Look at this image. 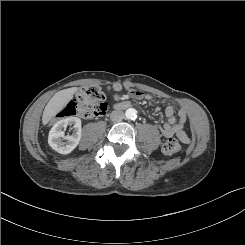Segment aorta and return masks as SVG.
<instances>
[{"mask_svg": "<svg viewBox=\"0 0 245 245\" xmlns=\"http://www.w3.org/2000/svg\"><path fill=\"white\" fill-rule=\"evenodd\" d=\"M125 116L128 119H132V120L136 119L137 118V111H136V109H134V108L127 109L125 111Z\"/></svg>", "mask_w": 245, "mask_h": 245, "instance_id": "762f6f07", "label": "aorta"}]
</instances>
